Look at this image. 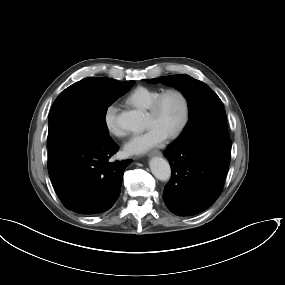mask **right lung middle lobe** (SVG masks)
Here are the masks:
<instances>
[{"label": "right lung middle lobe", "instance_id": "right-lung-middle-lobe-1", "mask_svg": "<svg viewBox=\"0 0 285 285\" xmlns=\"http://www.w3.org/2000/svg\"><path fill=\"white\" fill-rule=\"evenodd\" d=\"M134 84L135 81L92 77L62 91L49 114V153L77 138H109L107 109Z\"/></svg>", "mask_w": 285, "mask_h": 285}]
</instances>
